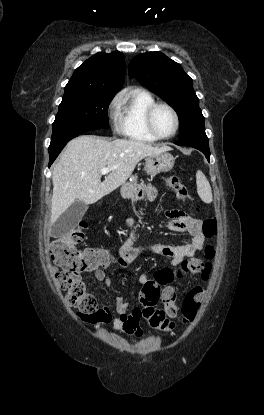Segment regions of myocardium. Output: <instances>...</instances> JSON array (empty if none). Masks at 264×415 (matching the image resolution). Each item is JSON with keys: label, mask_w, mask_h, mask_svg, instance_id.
Listing matches in <instances>:
<instances>
[{"label": "myocardium", "mask_w": 264, "mask_h": 415, "mask_svg": "<svg viewBox=\"0 0 264 415\" xmlns=\"http://www.w3.org/2000/svg\"><path fill=\"white\" fill-rule=\"evenodd\" d=\"M159 107H165V108L169 109L171 111V113L173 114V116H174L175 127H174V130L172 131V133H170L169 135L162 136L155 129L153 117H154L155 111ZM145 123H146V127H147L149 133L153 137H155L157 140H166V139H171L178 132V129H179V126H180V118H179L178 112L176 111V109L173 106H171L170 104H168L166 102H156V103L152 104L147 109L146 114H145Z\"/></svg>", "instance_id": "obj_1"}]
</instances>
